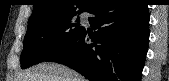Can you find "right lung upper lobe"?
Segmentation results:
<instances>
[{
    "label": "right lung upper lobe",
    "mask_w": 169,
    "mask_h": 81,
    "mask_svg": "<svg viewBox=\"0 0 169 81\" xmlns=\"http://www.w3.org/2000/svg\"><path fill=\"white\" fill-rule=\"evenodd\" d=\"M93 6L92 0H34L33 13L28 24L47 18L89 12Z\"/></svg>",
    "instance_id": "right-lung-upper-lobe-1"
}]
</instances>
